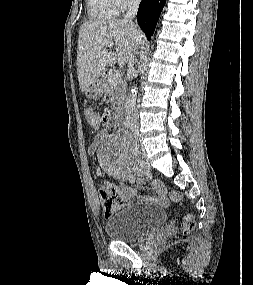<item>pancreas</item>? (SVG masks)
<instances>
[{
    "mask_svg": "<svg viewBox=\"0 0 253 285\" xmlns=\"http://www.w3.org/2000/svg\"><path fill=\"white\" fill-rule=\"evenodd\" d=\"M111 75L112 73L107 74L102 80L103 93L112 96L111 100L114 101L113 109L119 111L126 96V83L121 80L118 84H111L109 82Z\"/></svg>",
    "mask_w": 253,
    "mask_h": 285,
    "instance_id": "1",
    "label": "pancreas"
}]
</instances>
